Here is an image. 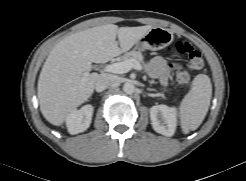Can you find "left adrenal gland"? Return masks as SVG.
<instances>
[{
	"label": "left adrenal gland",
	"mask_w": 246,
	"mask_h": 181,
	"mask_svg": "<svg viewBox=\"0 0 246 181\" xmlns=\"http://www.w3.org/2000/svg\"><path fill=\"white\" fill-rule=\"evenodd\" d=\"M147 90H148V91H155L154 89H151V88H148Z\"/></svg>",
	"instance_id": "obj_1"
}]
</instances>
